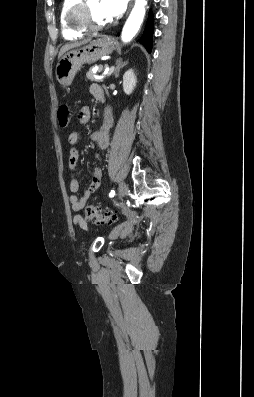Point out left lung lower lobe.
Here are the masks:
<instances>
[{"instance_id":"obj_1","label":"left lung lower lobe","mask_w":254,"mask_h":397,"mask_svg":"<svg viewBox=\"0 0 254 397\" xmlns=\"http://www.w3.org/2000/svg\"><path fill=\"white\" fill-rule=\"evenodd\" d=\"M152 33H153V24H152L151 13H149V18L146 24V28L144 30L142 37L139 39V42L143 44V46L147 49L149 53L151 52L152 49Z\"/></svg>"}]
</instances>
